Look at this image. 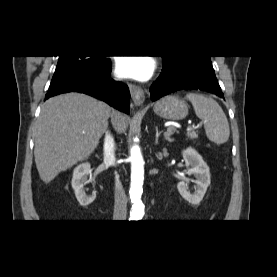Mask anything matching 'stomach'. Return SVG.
Returning <instances> with one entry per match:
<instances>
[{"instance_id":"stomach-1","label":"stomach","mask_w":277,"mask_h":277,"mask_svg":"<svg viewBox=\"0 0 277 277\" xmlns=\"http://www.w3.org/2000/svg\"><path fill=\"white\" fill-rule=\"evenodd\" d=\"M154 112L168 120H181L188 114V104L177 96H166L154 105Z\"/></svg>"}]
</instances>
